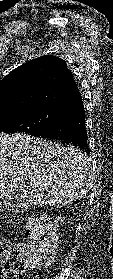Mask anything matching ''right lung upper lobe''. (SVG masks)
I'll return each instance as SVG.
<instances>
[{
  "instance_id": "obj_1",
  "label": "right lung upper lobe",
  "mask_w": 113,
  "mask_h": 279,
  "mask_svg": "<svg viewBox=\"0 0 113 279\" xmlns=\"http://www.w3.org/2000/svg\"><path fill=\"white\" fill-rule=\"evenodd\" d=\"M80 100L65 60L53 55L30 60L0 80V110L51 107L67 111Z\"/></svg>"
}]
</instances>
